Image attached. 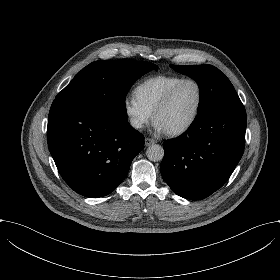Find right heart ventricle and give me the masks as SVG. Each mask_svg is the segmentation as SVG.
<instances>
[{
    "label": "right heart ventricle",
    "instance_id": "1",
    "mask_svg": "<svg viewBox=\"0 0 280 280\" xmlns=\"http://www.w3.org/2000/svg\"><path fill=\"white\" fill-rule=\"evenodd\" d=\"M182 79L184 77L180 75L153 76L140 82L134 94L151 113H154L166 94Z\"/></svg>",
    "mask_w": 280,
    "mask_h": 280
}]
</instances>
